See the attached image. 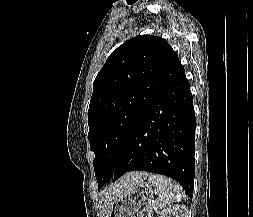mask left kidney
Instances as JSON below:
<instances>
[{
	"label": "left kidney",
	"instance_id": "1",
	"mask_svg": "<svg viewBox=\"0 0 253 217\" xmlns=\"http://www.w3.org/2000/svg\"><path fill=\"white\" fill-rule=\"evenodd\" d=\"M160 217H189L188 209L183 205L177 204L163 210Z\"/></svg>",
	"mask_w": 253,
	"mask_h": 217
}]
</instances>
